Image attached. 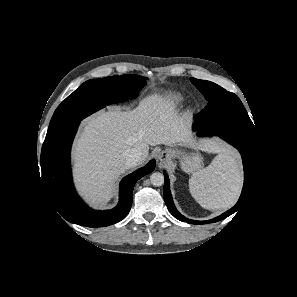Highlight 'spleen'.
<instances>
[{"label": "spleen", "instance_id": "obj_1", "mask_svg": "<svg viewBox=\"0 0 297 297\" xmlns=\"http://www.w3.org/2000/svg\"><path fill=\"white\" fill-rule=\"evenodd\" d=\"M242 183L236 155L226 151L209 166L191 176L189 188L194 199L205 209H225L236 201Z\"/></svg>", "mask_w": 297, "mask_h": 297}]
</instances>
